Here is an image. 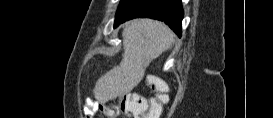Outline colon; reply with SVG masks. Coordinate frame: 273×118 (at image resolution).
Listing matches in <instances>:
<instances>
[{
    "label": "colon",
    "instance_id": "1",
    "mask_svg": "<svg viewBox=\"0 0 273 118\" xmlns=\"http://www.w3.org/2000/svg\"><path fill=\"white\" fill-rule=\"evenodd\" d=\"M150 81L158 89V93L152 97L130 93L122 96L115 108L106 107L98 102H94L93 107H99L107 118H115L117 113H123L133 118H157L162 112L164 104L168 101L167 87L165 84H158V80L155 78H151ZM92 116L93 112L89 111L85 118H92Z\"/></svg>",
    "mask_w": 273,
    "mask_h": 118
}]
</instances>
